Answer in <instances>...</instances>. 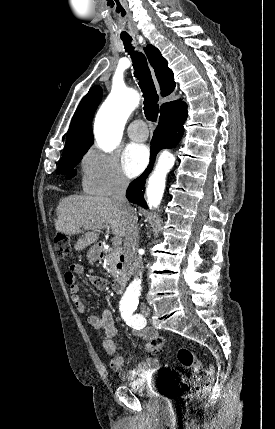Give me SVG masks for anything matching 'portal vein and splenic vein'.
<instances>
[{"instance_id": "obj_1", "label": "portal vein and splenic vein", "mask_w": 275, "mask_h": 429, "mask_svg": "<svg viewBox=\"0 0 275 429\" xmlns=\"http://www.w3.org/2000/svg\"><path fill=\"white\" fill-rule=\"evenodd\" d=\"M102 228H107V229H109V226H104V227H100L99 228V230L100 229H102ZM113 244L114 245H120L121 244V238H119V237H115L114 239H113Z\"/></svg>"}]
</instances>
